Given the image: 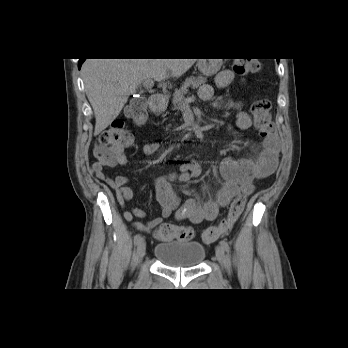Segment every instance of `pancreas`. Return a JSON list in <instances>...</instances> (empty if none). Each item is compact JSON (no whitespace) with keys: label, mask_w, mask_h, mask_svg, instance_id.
Listing matches in <instances>:
<instances>
[{"label":"pancreas","mask_w":348,"mask_h":348,"mask_svg":"<svg viewBox=\"0 0 348 348\" xmlns=\"http://www.w3.org/2000/svg\"><path fill=\"white\" fill-rule=\"evenodd\" d=\"M207 79L202 76L194 77L190 76L186 78L183 85L180 87V89L175 90L173 94L172 99V110H180L183 103L185 102V94L188 92V88L192 87L193 89H196L200 87L202 84H205Z\"/></svg>","instance_id":"cf45deb5"}]
</instances>
